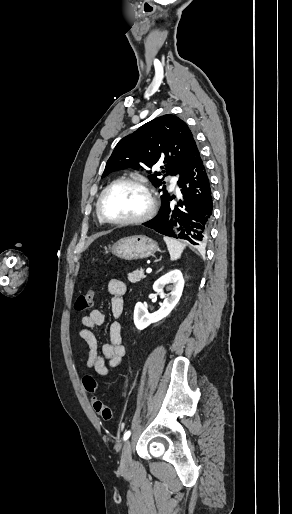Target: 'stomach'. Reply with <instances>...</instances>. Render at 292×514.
<instances>
[{"instance_id": "obj_1", "label": "stomach", "mask_w": 292, "mask_h": 514, "mask_svg": "<svg viewBox=\"0 0 292 514\" xmlns=\"http://www.w3.org/2000/svg\"><path fill=\"white\" fill-rule=\"evenodd\" d=\"M157 242H153L147 236H129V238H121L111 248L112 254L122 260H141V258H149L155 252H158Z\"/></svg>"}]
</instances>
